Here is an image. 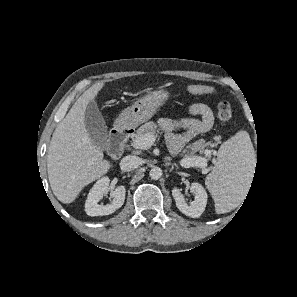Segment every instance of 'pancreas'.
Wrapping results in <instances>:
<instances>
[{"mask_svg":"<svg viewBox=\"0 0 297 297\" xmlns=\"http://www.w3.org/2000/svg\"><path fill=\"white\" fill-rule=\"evenodd\" d=\"M158 131L157 129V124L150 121V122H147L145 123L144 125H142L135 134H133L132 136V140L133 142L141 137V136H144L145 134H152L154 135L156 132ZM201 146L197 149H195L193 152L190 153V156L194 157V153L197 151V150H200L201 152H203V148L206 146V145H203L202 143L200 144Z\"/></svg>","mask_w":297,"mask_h":297,"instance_id":"pancreas-1","label":"pancreas"}]
</instances>
